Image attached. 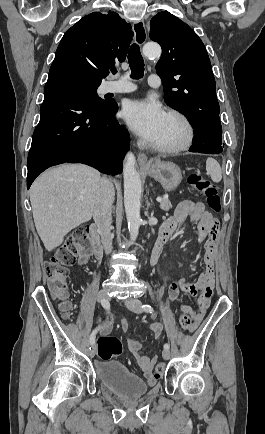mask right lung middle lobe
I'll use <instances>...</instances> for the list:
<instances>
[{
  "label": "right lung middle lobe",
  "mask_w": 265,
  "mask_h": 434,
  "mask_svg": "<svg viewBox=\"0 0 265 434\" xmlns=\"http://www.w3.org/2000/svg\"><path fill=\"white\" fill-rule=\"evenodd\" d=\"M66 82L69 84H73L76 86H79L82 93L87 97L90 104L97 107H107L110 105L115 104V101H106L100 98L97 93L96 89L100 85V81H96L94 79L84 77V76H77V75H69V74H58L48 77V82Z\"/></svg>",
  "instance_id": "1"
}]
</instances>
